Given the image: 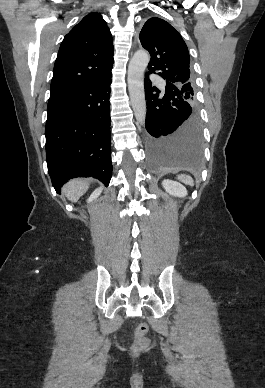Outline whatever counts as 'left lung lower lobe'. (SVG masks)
I'll return each instance as SVG.
<instances>
[{
	"mask_svg": "<svg viewBox=\"0 0 265 388\" xmlns=\"http://www.w3.org/2000/svg\"><path fill=\"white\" fill-rule=\"evenodd\" d=\"M148 155L157 169L196 171L202 161V130L195 107L184 101L180 90L166 83L164 92L152 87L145 75Z\"/></svg>",
	"mask_w": 265,
	"mask_h": 388,
	"instance_id": "left-lung-lower-lobe-1",
	"label": "left lung lower lobe"
}]
</instances>
